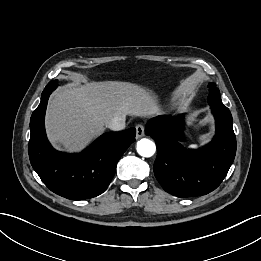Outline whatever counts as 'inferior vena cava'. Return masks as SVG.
<instances>
[{
    "instance_id": "inferior-vena-cava-1",
    "label": "inferior vena cava",
    "mask_w": 261,
    "mask_h": 261,
    "mask_svg": "<svg viewBox=\"0 0 261 261\" xmlns=\"http://www.w3.org/2000/svg\"><path fill=\"white\" fill-rule=\"evenodd\" d=\"M125 115H117L106 123V126L113 131H120L125 128Z\"/></svg>"
}]
</instances>
